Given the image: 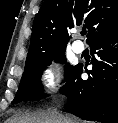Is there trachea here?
<instances>
[{
  "label": "trachea",
  "mask_w": 118,
  "mask_h": 123,
  "mask_svg": "<svg viewBox=\"0 0 118 123\" xmlns=\"http://www.w3.org/2000/svg\"><path fill=\"white\" fill-rule=\"evenodd\" d=\"M81 35H82V36L86 35V31H82V32H81Z\"/></svg>",
  "instance_id": "obj_1"
}]
</instances>
